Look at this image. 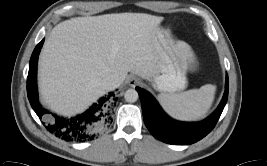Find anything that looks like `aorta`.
Segmentation results:
<instances>
[{
  "label": "aorta",
  "mask_w": 267,
  "mask_h": 166,
  "mask_svg": "<svg viewBox=\"0 0 267 166\" xmlns=\"http://www.w3.org/2000/svg\"><path fill=\"white\" fill-rule=\"evenodd\" d=\"M124 98L126 102L133 103L138 100L139 95L135 89H128L124 94Z\"/></svg>",
  "instance_id": "762f6f07"
}]
</instances>
